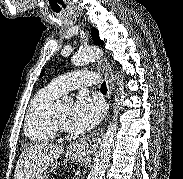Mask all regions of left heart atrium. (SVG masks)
<instances>
[{
    "label": "left heart atrium",
    "instance_id": "left-heart-atrium-1",
    "mask_svg": "<svg viewBox=\"0 0 183 179\" xmlns=\"http://www.w3.org/2000/svg\"><path fill=\"white\" fill-rule=\"evenodd\" d=\"M103 116L102 104L86 95H80L69 116L68 127L76 132H86L95 127Z\"/></svg>",
    "mask_w": 183,
    "mask_h": 179
}]
</instances>
